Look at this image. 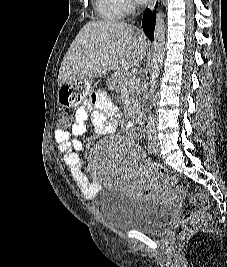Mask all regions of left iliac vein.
<instances>
[{
    "label": "left iliac vein",
    "instance_id": "obj_1",
    "mask_svg": "<svg viewBox=\"0 0 227 267\" xmlns=\"http://www.w3.org/2000/svg\"><path fill=\"white\" fill-rule=\"evenodd\" d=\"M154 146H156V147H157V142H156V140L154 141Z\"/></svg>",
    "mask_w": 227,
    "mask_h": 267
}]
</instances>
